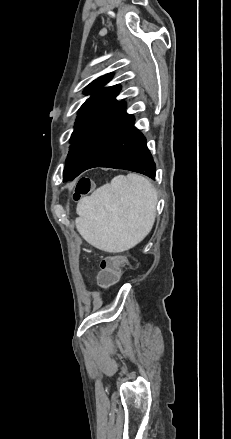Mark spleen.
I'll use <instances>...</instances> for the list:
<instances>
[{"label": "spleen", "mask_w": 231, "mask_h": 439, "mask_svg": "<svg viewBox=\"0 0 231 439\" xmlns=\"http://www.w3.org/2000/svg\"><path fill=\"white\" fill-rule=\"evenodd\" d=\"M157 192L137 174L119 175L77 204L76 228L91 245L123 252L141 242L156 216Z\"/></svg>", "instance_id": "1"}]
</instances>
